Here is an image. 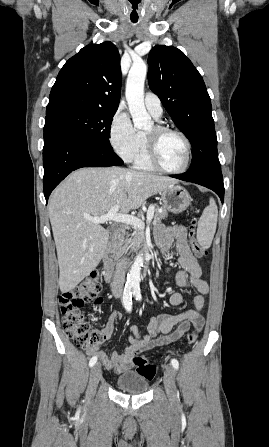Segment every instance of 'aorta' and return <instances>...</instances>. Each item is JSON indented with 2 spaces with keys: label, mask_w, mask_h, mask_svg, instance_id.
Returning <instances> with one entry per match:
<instances>
[{
  "label": "aorta",
  "mask_w": 269,
  "mask_h": 447,
  "mask_svg": "<svg viewBox=\"0 0 269 447\" xmlns=\"http://www.w3.org/2000/svg\"><path fill=\"white\" fill-rule=\"evenodd\" d=\"M147 74V64L144 60H133L132 68L127 78L126 100L130 114L132 116L134 128L137 130H150L152 126L151 116H149L144 104V82ZM143 253L137 255L131 269H129L127 281L131 285H139L141 267L143 265Z\"/></svg>",
  "instance_id": "aorta-1"
}]
</instances>
